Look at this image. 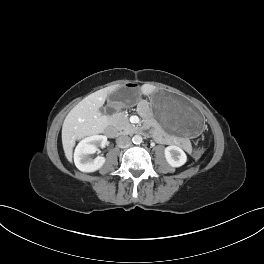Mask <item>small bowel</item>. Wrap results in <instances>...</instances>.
Instances as JSON below:
<instances>
[{
	"label": "small bowel",
	"mask_w": 264,
	"mask_h": 264,
	"mask_svg": "<svg viewBox=\"0 0 264 264\" xmlns=\"http://www.w3.org/2000/svg\"><path fill=\"white\" fill-rule=\"evenodd\" d=\"M156 136H157L159 139L163 140V136H162L161 132L157 131V132H156ZM182 144H183V146H184L186 149H189V148H190V145H189L188 142L183 141Z\"/></svg>",
	"instance_id": "c3829d8e"
}]
</instances>
